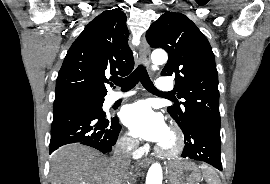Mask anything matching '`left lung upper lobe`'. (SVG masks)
I'll list each match as a JSON object with an SVG mask.
<instances>
[{"mask_svg": "<svg viewBox=\"0 0 270 184\" xmlns=\"http://www.w3.org/2000/svg\"><path fill=\"white\" fill-rule=\"evenodd\" d=\"M151 47L168 52L161 76L175 77V91L185 101L167 108L182 130L195 123L220 127L218 73L212 48L196 25L181 13L166 12L146 33Z\"/></svg>", "mask_w": 270, "mask_h": 184, "instance_id": "5c2ea615", "label": "left lung upper lobe"}]
</instances>
